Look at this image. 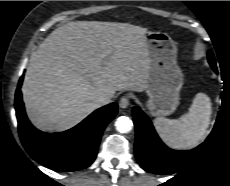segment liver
I'll use <instances>...</instances> for the list:
<instances>
[{
    "label": "liver",
    "mask_w": 230,
    "mask_h": 186,
    "mask_svg": "<svg viewBox=\"0 0 230 186\" xmlns=\"http://www.w3.org/2000/svg\"><path fill=\"white\" fill-rule=\"evenodd\" d=\"M147 29L129 23L77 21L54 30L33 53L22 94L31 123L68 130L101 105L100 95L147 88Z\"/></svg>",
    "instance_id": "6515ba94"
}]
</instances>
